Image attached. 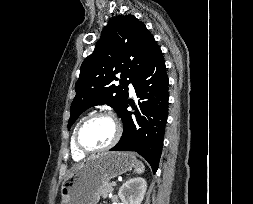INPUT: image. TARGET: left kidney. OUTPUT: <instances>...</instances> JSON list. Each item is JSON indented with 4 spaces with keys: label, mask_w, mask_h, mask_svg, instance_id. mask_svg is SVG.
Returning a JSON list of instances; mask_svg holds the SVG:
<instances>
[{
    "label": "left kidney",
    "mask_w": 253,
    "mask_h": 204,
    "mask_svg": "<svg viewBox=\"0 0 253 204\" xmlns=\"http://www.w3.org/2000/svg\"><path fill=\"white\" fill-rule=\"evenodd\" d=\"M147 189L145 179L136 177L126 181L119 189L122 204H141Z\"/></svg>",
    "instance_id": "1"
}]
</instances>
